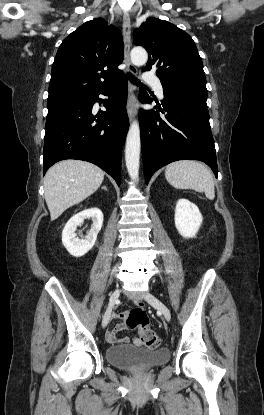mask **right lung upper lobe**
<instances>
[{"mask_svg": "<svg viewBox=\"0 0 264 415\" xmlns=\"http://www.w3.org/2000/svg\"><path fill=\"white\" fill-rule=\"evenodd\" d=\"M121 33L95 18L61 43L51 70L48 101L77 98L108 88L121 77Z\"/></svg>", "mask_w": 264, "mask_h": 415, "instance_id": "obj_1", "label": "right lung upper lobe"}]
</instances>
